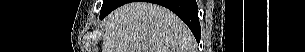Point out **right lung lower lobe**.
I'll list each match as a JSON object with an SVG mask.
<instances>
[{"label":"right lung lower lobe","mask_w":305,"mask_h":52,"mask_svg":"<svg viewBox=\"0 0 305 52\" xmlns=\"http://www.w3.org/2000/svg\"><path fill=\"white\" fill-rule=\"evenodd\" d=\"M131 1L133 0H108V3L101 9L100 19H103L117 7ZM149 2L165 6L173 11L188 25L196 40L200 41L201 28L198 21V6L195 0H149Z\"/></svg>","instance_id":"1"}]
</instances>
